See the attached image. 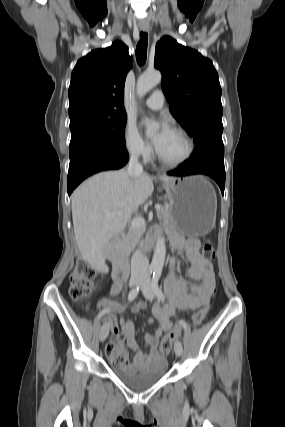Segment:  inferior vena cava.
I'll list each match as a JSON object with an SVG mask.
<instances>
[{
    "mask_svg": "<svg viewBox=\"0 0 285 427\" xmlns=\"http://www.w3.org/2000/svg\"><path fill=\"white\" fill-rule=\"evenodd\" d=\"M127 173L129 176H138L143 173V167L138 161V154L132 153L129 163ZM142 245V243H141ZM149 260L141 252V250H136L131 258V274L132 275H146L148 272Z\"/></svg>",
    "mask_w": 285,
    "mask_h": 427,
    "instance_id": "obj_1",
    "label": "inferior vena cava"
}]
</instances>
